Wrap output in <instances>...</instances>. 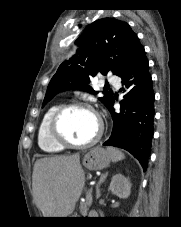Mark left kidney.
<instances>
[{
	"mask_svg": "<svg viewBox=\"0 0 181 227\" xmlns=\"http://www.w3.org/2000/svg\"><path fill=\"white\" fill-rule=\"evenodd\" d=\"M109 190L120 198H128L131 190V183L123 174H115L110 182Z\"/></svg>",
	"mask_w": 181,
	"mask_h": 227,
	"instance_id": "1",
	"label": "left kidney"
}]
</instances>
